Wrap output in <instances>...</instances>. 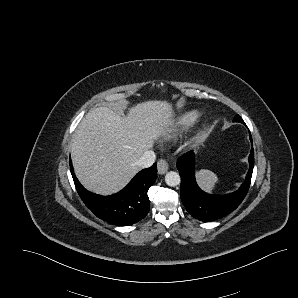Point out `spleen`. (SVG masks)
<instances>
[{
	"label": "spleen",
	"instance_id": "3e777b00",
	"mask_svg": "<svg viewBox=\"0 0 298 298\" xmlns=\"http://www.w3.org/2000/svg\"><path fill=\"white\" fill-rule=\"evenodd\" d=\"M229 156L231 157L232 154L229 153ZM194 176L198 188L208 195H212L216 186L221 184L220 178L208 169L195 170Z\"/></svg>",
	"mask_w": 298,
	"mask_h": 298
}]
</instances>
